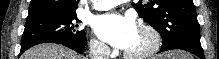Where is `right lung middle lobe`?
<instances>
[{
  "instance_id": "dd1d6c3e",
  "label": "right lung middle lobe",
  "mask_w": 219,
  "mask_h": 59,
  "mask_svg": "<svg viewBox=\"0 0 219 59\" xmlns=\"http://www.w3.org/2000/svg\"><path fill=\"white\" fill-rule=\"evenodd\" d=\"M76 13L35 11L28 14L21 50L41 43L68 40L86 44V33L80 28Z\"/></svg>"
}]
</instances>
